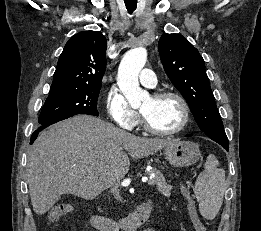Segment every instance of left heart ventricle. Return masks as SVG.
<instances>
[{
    "label": "left heart ventricle",
    "instance_id": "obj_1",
    "mask_svg": "<svg viewBox=\"0 0 261 231\" xmlns=\"http://www.w3.org/2000/svg\"><path fill=\"white\" fill-rule=\"evenodd\" d=\"M150 123L162 131H170L177 128L182 121V109L174 98L155 100L149 97L140 107Z\"/></svg>",
    "mask_w": 261,
    "mask_h": 231
}]
</instances>
